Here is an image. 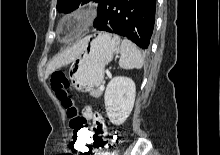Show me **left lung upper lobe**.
<instances>
[{"label": "left lung upper lobe", "instance_id": "5c2ea615", "mask_svg": "<svg viewBox=\"0 0 220 155\" xmlns=\"http://www.w3.org/2000/svg\"><path fill=\"white\" fill-rule=\"evenodd\" d=\"M90 0H58L57 9L63 13H69L76 9L80 4H85ZM100 2L101 0H94Z\"/></svg>", "mask_w": 220, "mask_h": 155}]
</instances>
